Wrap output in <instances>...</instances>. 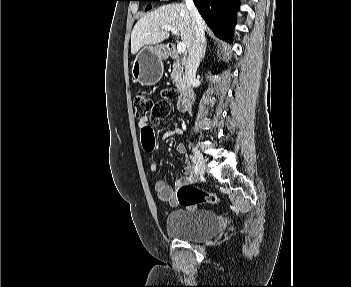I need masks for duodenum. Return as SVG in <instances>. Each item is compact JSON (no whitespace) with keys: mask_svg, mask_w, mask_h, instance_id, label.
I'll use <instances>...</instances> for the list:
<instances>
[{"mask_svg":"<svg viewBox=\"0 0 351 287\" xmlns=\"http://www.w3.org/2000/svg\"><path fill=\"white\" fill-rule=\"evenodd\" d=\"M164 53L166 56H172L175 53V46L173 44L165 48ZM193 97L192 90H185L177 102V108L181 112L189 110L191 99Z\"/></svg>","mask_w":351,"mask_h":287,"instance_id":"obj_1","label":"duodenum"}]
</instances>
